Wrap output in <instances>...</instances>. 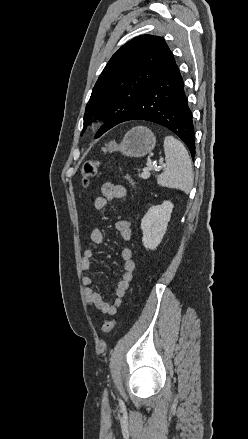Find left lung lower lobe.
Instances as JSON below:
<instances>
[{
	"mask_svg": "<svg viewBox=\"0 0 248 439\" xmlns=\"http://www.w3.org/2000/svg\"><path fill=\"white\" fill-rule=\"evenodd\" d=\"M130 120H146L168 128L187 145L194 158L192 113L185 95L184 82L173 56L120 123Z\"/></svg>",
	"mask_w": 248,
	"mask_h": 439,
	"instance_id": "left-lung-lower-lobe-1",
	"label": "left lung lower lobe"
}]
</instances>
